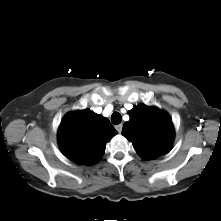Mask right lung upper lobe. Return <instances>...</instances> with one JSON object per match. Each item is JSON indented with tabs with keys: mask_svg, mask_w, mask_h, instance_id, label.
<instances>
[{
	"mask_svg": "<svg viewBox=\"0 0 221 221\" xmlns=\"http://www.w3.org/2000/svg\"><path fill=\"white\" fill-rule=\"evenodd\" d=\"M116 134L107 118L85 109L71 112L63 118L58 141L67 158L92 165L102 157L106 143Z\"/></svg>",
	"mask_w": 221,
	"mask_h": 221,
	"instance_id": "1",
	"label": "right lung upper lobe"
}]
</instances>
